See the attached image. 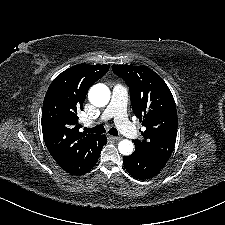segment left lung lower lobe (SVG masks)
I'll return each instance as SVG.
<instances>
[{
	"label": "left lung lower lobe",
	"instance_id": "obj_1",
	"mask_svg": "<svg viewBox=\"0 0 225 225\" xmlns=\"http://www.w3.org/2000/svg\"><path fill=\"white\" fill-rule=\"evenodd\" d=\"M123 164L134 178L146 180L158 174L166 162L150 157L144 152L135 149L132 155L123 157Z\"/></svg>",
	"mask_w": 225,
	"mask_h": 225
}]
</instances>
